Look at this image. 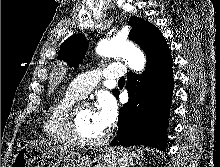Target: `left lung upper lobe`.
<instances>
[{"label":"left lung upper lobe","mask_w":220,"mask_h":167,"mask_svg":"<svg viewBox=\"0 0 220 167\" xmlns=\"http://www.w3.org/2000/svg\"><path fill=\"white\" fill-rule=\"evenodd\" d=\"M129 24L131 25L129 39L143 48L146 57L158 56L165 50H169L166 40L154 25L136 16L130 17ZM87 47L85 36L75 34L62 43L58 59L67 62L70 67L77 68L82 63ZM117 93V90H113L115 96Z\"/></svg>","instance_id":"1"}]
</instances>
